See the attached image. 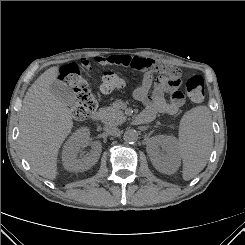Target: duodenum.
<instances>
[{"label": "duodenum", "instance_id": "duodenum-1", "mask_svg": "<svg viewBox=\"0 0 245 245\" xmlns=\"http://www.w3.org/2000/svg\"><path fill=\"white\" fill-rule=\"evenodd\" d=\"M91 119L93 121H99L101 119L100 112H98V111L93 112L92 115H91ZM149 121H150V119L147 116L143 115V114L137 115L135 117V119H134L135 124H143V123H146V122H149Z\"/></svg>", "mask_w": 245, "mask_h": 245}]
</instances>
